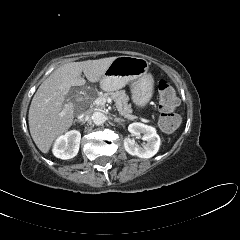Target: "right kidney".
I'll return each instance as SVG.
<instances>
[{"instance_id":"obj_1","label":"right kidney","mask_w":240,"mask_h":240,"mask_svg":"<svg viewBox=\"0 0 240 240\" xmlns=\"http://www.w3.org/2000/svg\"><path fill=\"white\" fill-rule=\"evenodd\" d=\"M81 134L71 130L58 137L53 146V154L60 159L67 160L75 157L79 151Z\"/></svg>"}]
</instances>
